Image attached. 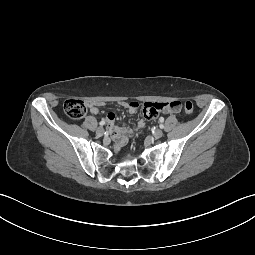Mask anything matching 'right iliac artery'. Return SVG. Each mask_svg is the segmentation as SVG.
<instances>
[{
  "instance_id": "obj_1",
  "label": "right iliac artery",
  "mask_w": 255,
  "mask_h": 255,
  "mask_svg": "<svg viewBox=\"0 0 255 255\" xmlns=\"http://www.w3.org/2000/svg\"><path fill=\"white\" fill-rule=\"evenodd\" d=\"M104 124H105V120H102V121L99 123L100 126H102V125H104Z\"/></svg>"
}]
</instances>
